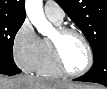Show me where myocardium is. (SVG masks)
I'll use <instances>...</instances> for the list:
<instances>
[{
	"instance_id": "1",
	"label": "myocardium",
	"mask_w": 107,
	"mask_h": 89,
	"mask_svg": "<svg viewBox=\"0 0 107 89\" xmlns=\"http://www.w3.org/2000/svg\"><path fill=\"white\" fill-rule=\"evenodd\" d=\"M70 34H74L78 36L83 41L87 50V54H88V60H87L85 67L82 70L77 71V72H72L67 69L62 59L61 51H60V40ZM50 43H51L54 62L56 66L58 67V69L62 72V74L69 76V77H78L87 73L93 66V63H94L93 49L87 37L80 30L73 28V27L60 26L56 29L55 37H52L50 39Z\"/></svg>"
}]
</instances>
